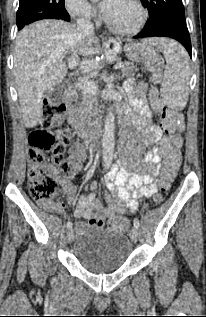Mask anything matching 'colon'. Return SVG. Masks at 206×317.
<instances>
[{
    "mask_svg": "<svg viewBox=\"0 0 206 317\" xmlns=\"http://www.w3.org/2000/svg\"><path fill=\"white\" fill-rule=\"evenodd\" d=\"M146 65L153 73V81L159 82L162 68L161 58L153 56L146 62ZM160 112L162 127L167 133L184 129V116L180 112L165 107H162ZM65 117L64 104L59 106L46 105L42 121L29 135L28 189L34 200L48 201L56 194L58 181L52 174L53 166H56L64 177H70L76 172L74 161L64 157L65 146L71 138L70 131L61 128ZM180 162L181 153L177 150L167 157L160 178L162 191L169 189ZM155 201L158 202L159 198H156ZM109 225L117 231L128 229V222L119 217L113 219Z\"/></svg>",
    "mask_w": 206,
    "mask_h": 317,
    "instance_id": "obj_1",
    "label": "colon"
}]
</instances>
